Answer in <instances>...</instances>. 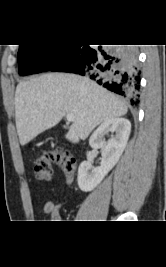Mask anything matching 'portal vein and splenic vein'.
<instances>
[{
    "mask_svg": "<svg viewBox=\"0 0 166 267\" xmlns=\"http://www.w3.org/2000/svg\"><path fill=\"white\" fill-rule=\"evenodd\" d=\"M66 119L68 122H73L75 119V116L73 114H67Z\"/></svg>",
    "mask_w": 166,
    "mask_h": 267,
    "instance_id": "obj_1",
    "label": "portal vein and splenic vein"
}]
</instances>
